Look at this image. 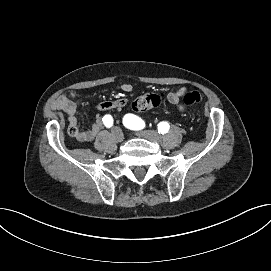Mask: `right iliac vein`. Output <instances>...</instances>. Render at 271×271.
<instances>
[{
	"instance_id": "63e3f726",
	"label": "right iliac vein",
	"mask_w": 271,
	"mask_h": 271,
	"mask_svg": "<svg viewBox=\"0 0 271 271\" xmlns=\"http://www.w3.org/2000/svg\"><path fill=\"white\" fill-rule=\"evenodd\" d=\"M113 138L117 143H120L124 139V135L119 128H115L112 132Z\"/></svg>"
}]
</instances>
